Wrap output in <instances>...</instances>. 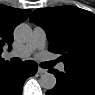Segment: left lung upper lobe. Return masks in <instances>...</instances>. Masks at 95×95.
<instances>
[{
	"mask_svg": "<svg viewBox=\"0 0 95 95\" xmlns=\"http://www.w3.org/2000/svg\"><path fill=\"white\" fill-rule=\"evenodd\" d=\"M30 21L46 30L49 50L62 54L65 66L95 72L93 13L73 6L40 8Z\"/></svg>",
	"mask_w": 95,
	"mask_h": 95,
	"instance_id": "obj_1",
	"label": "left lung upper lobe"
}]
</instances>
